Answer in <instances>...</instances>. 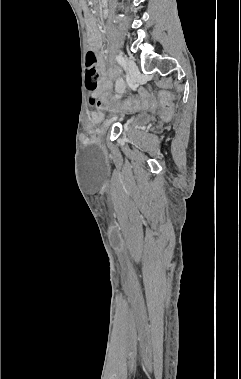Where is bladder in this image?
<instances>
[{
	"label": "bladder",
	"mask_w": 241,
	"mask_h": 379,
	"mask_svg": "<svg viewBox=\"0 0 241 379\" xmlns=\"http://www.w3.org/2000/svg\"><path fill=\"white\" fill-rule=\"evenodd\" d=\"M152 119V116L149 113L143 112L138 114L135 119L136 124L143 125L148 123Z\"/></svg>",
	"instance_id": "obj_1"
}]
</instances>
